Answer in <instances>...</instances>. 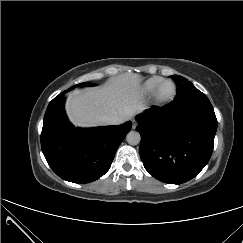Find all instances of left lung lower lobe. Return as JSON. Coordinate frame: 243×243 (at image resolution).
<instances>
[{"instance_id": "obj_1", "label": "left lung lower lobe", "mask_w": 243, "mask_h": 243, "mask_svg": "<svg viewBox=\"0 0 243 243\" xmlns=\"http://www.w3.org/2000/svg\"><path fill=\"white\" fill-rule=\"evenodd\" d=\"M196 94L179 87L174 100L136 117L141 134L140 157L156 179L181 184L208 163L217 130L215 113H197L188 106Z\"/></svg>"}]
</instances>
